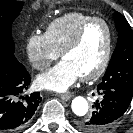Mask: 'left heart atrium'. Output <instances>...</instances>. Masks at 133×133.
<instances>
[{
    "label": "left heart atrium",
    "mask_w": 133,
    "mask_h": 133,
    "mask_svg": "<svg viewBox=\"0 0 133 133\" xmlns=\"http://www.w3.org/2000/svg\"><path fill=\"white\" fill-rule=\"evenodd\" d=\"M80 78L79 72L66 59L57 63L47 72L39 75L37 85L46 90L64 92Z\"/></svg>",
    "instance_id": "obj_1"
}]
</instances>
